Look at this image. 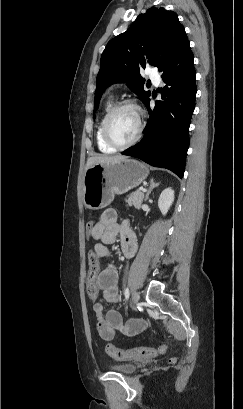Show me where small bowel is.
I'll use <instances>...</instances> for the list:
<instances>
[{"mask_svg":"<svg viewBox=\"0 0 243 409\" xmlns=\"http://www.w3.org/2000/svg\"><path fill=\"white\" fill-rule=\"evenodd\" d=\"M91 235L97 244L94 255L89 258L87 288L93 287L103 291V295L93 305L99 336L105 341H111L116 331L136 335L144 329V321L134 320L124 323L119 311L115 309L104 311L105 304L116 303L119 300V274L112 263H108L101 270L99 268V260L111 256L107 245L114 243L118 235L124 257H133L137 249L136 236L127 220L118 222L117 212L113 209H107L101 214ZM93 269H95L94 272Z\"/></svg>","mask_w":243,"mask_h":409,"instance_id":"c3829d8e","label":"small bowel"}]
</instances>
